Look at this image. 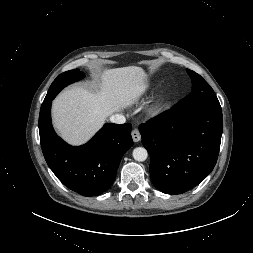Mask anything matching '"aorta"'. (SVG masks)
Here are the masks:
<instances>
[{
  "label": "aorta",
  "instance_id": "obj_1",
  "mask_svg": "<svg viewBox=\"0 0 253 253\" xmlns=\"http://www.w3.org/2000/svg\"><path fill=\"white\" fill-rule=\"evenodd\" d=\"M148 152L144 147H137L133 150V158L138 162H143L147 159Z\"/></svg>",
  "mask_w": 253,
  "mask_h": 253
}]
</instances>
